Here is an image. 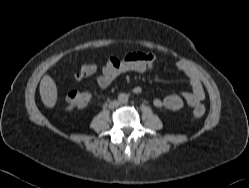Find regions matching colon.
Listing matches in <instances>:
<instances>
[{"instance_id":"1","label":"colon","mask_w":249,"mask_h":188,"mask_svg":"<svg viewBox=\"0 0 249 188\" xmlns=\"http://www.w3.org/2000/svg\"><path fill=\"white\" fill-rule=\"evenodd\" d=\"M95 68L93 65H83L75 74L76 79H81L83 77L89 76L94 72ZM91 100V95L86 91L73 90L66 98V108L73 109L78 107L86 106ZM205 113V108L203 105H198L192 112L193 119L201 118Z\"/></svg>"}]
</instances>
